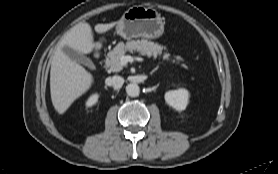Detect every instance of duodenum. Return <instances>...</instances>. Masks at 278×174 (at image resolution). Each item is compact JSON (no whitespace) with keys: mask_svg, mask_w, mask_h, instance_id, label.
<instances>
[{"mask_svg":"<svg viewBox=\"0 0 278 174\" xmlns=\"http://www.w3.org/2000/svg\"><path fill=\"white\" fill-rule=\"evenodd\" d=\"M101 50V44L97 43L95 47V55L98 56Z\"/></svg>","mask_w":278,"mask_h":174,"instance_id":"1","label":"duodenum"}]
</instances>
